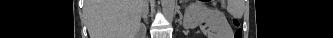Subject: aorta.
Wrapping results in <instances>:
<instances>
[{"label": "aorta", "mask_w": 333, "mask_h": 38, "mask_svg": "<svg viewBox=\"0 0 333 38\" xmlns=\"http://www.w3.org/2000/svg\"><path fill=\"white\" fill-rule=\"evenodd\" d=\"M164 15L168 21L174 18L175 0H161Z\"/></svg>", "instance_id": "762f6f07"}]
</instances>
